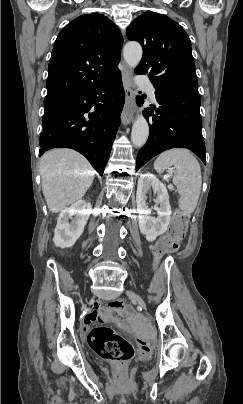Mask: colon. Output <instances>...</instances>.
<instances>
[{"label":"colon","instance_id":"5ec220e1","mask_svg":"<svg viewBox=\"0 0 243 404\" xmlns=\"http://www.w3.org/2000/svg\"><path fill=\"white\" fill-rule=\"evenodd\" d=\"M188 223V215L179 210L172 218L168 232L162 236L154 245L153 254L158 262L167 254L178 250L184 238ZM109 306L120 313L132 315L133 310L122 300L116 299L109 302ZM92 348L104 359L125 364L134 356L132 344L107 326L93 328L88 335ZM153 342L140 339L138 341V353L147 355L151 352Z\"/></svg>","mask_w":243,"mask_h":404}]
</instances>
